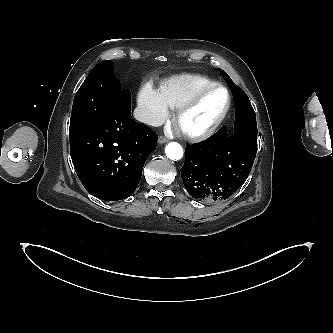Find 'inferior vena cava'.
<instances>
[{"label":"inferior vena cava","mask_w":333,"mask_h":333,"mask_svg":"<svg viewBox=\"0 0 333 333\" xmlns=\"http://www.w3.org/2000/svg\"><path fill=\"white\" fill-rule=\"evenodd\" d=\"M134 117L140 122H143L145 124L155 126V127L163 124V121L159 120L149 110L142 108V107L135 108Z\"/></svg>","instance_id":"obj_1"}]
</instances>
